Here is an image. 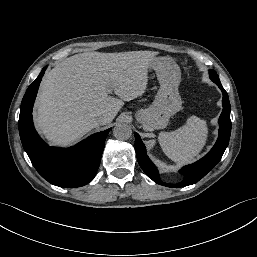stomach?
<instances>
[{"label": "stomach", "mask_w": 257, "mask_h": 257, "mask_svg": "<svg viewBox=\"0 0 257 257\" xmlns=\"http://www.w3.org/2000/svg\"><path fill=\"white\" fill-rule=\"evenodd\" d=\"M149 68L155 71L160 89L153 104L136 113V118L143 124L145 131L165 128L169 118L182 107L178 91L180 70L175 62L169 57L154 58Z\"/></svg>", "instance_id": "stomach-1"}]
</instances>
